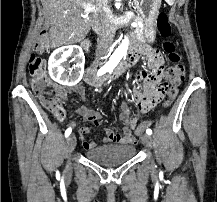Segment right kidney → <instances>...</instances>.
<instances>
[{"label":"right kidney","instance_id":"1","mask_svg":"<svg viewBox=\"0 0 217 202\" xmlns=\"http://www.w3.org/2000/svg\"><path fill=\"white\" fill-rule=\"evenodd\" d=\"M84 64L85 56L82 48H79V46H62L51 54L48 70L52 80H55L58 84L76 86L83 78Z\"/></svg>","mask_w":217,"mask_h":202}]
</instances>
